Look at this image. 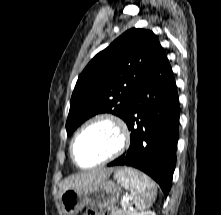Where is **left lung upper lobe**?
<instances>
[{
  "label": "left lung upper lobe",
  "mask_w": 221,
  "mask_h": 215,
  "mask_svg": "<svg viewBox=\"0 0 221 215\" xmlns=\"http://www.w3.org/2000/svg\"><path fill=\"white\" fill-rule=\"evenodd\" d=\"M162 49L150 30L132 28L99 52L80 74L66 122L67 134L98 113L123 120L127 106Z\"/></svg>",
  "instance_id": "obj_1"
}]
</instances>
